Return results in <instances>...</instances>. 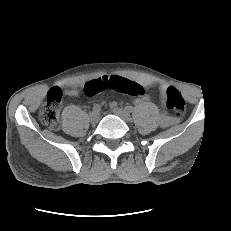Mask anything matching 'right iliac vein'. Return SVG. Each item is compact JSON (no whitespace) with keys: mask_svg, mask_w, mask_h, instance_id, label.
<instances>
[{"mask_svg":"<svg viewBox=\"0 0 231 231\" xmlns=\"http://www.w3.org/2000/svg\"><path fill=\"white\" fill-rule=\"evenodd\" d=\"M89 119H90L91 123L95 124V123H98V121L100 119V116L96 112H91L90 115H89Z\"/></svg>","mask_w":231,"mask_h":231,"instance_id":"right-iliac-vein-1","label":"right iliac vein"}]
</instances>
